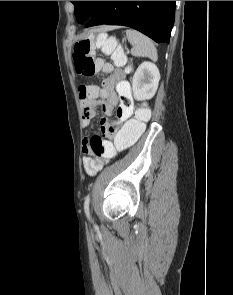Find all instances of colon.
<instances>
[{
  "label": "colon",
  "mask_w": 233,
  "mask_h": 295,
  "mask_svg": "<svg viewBox=\"0 0 233 295\" xmlns=\"http://www.w3.org/2000/svg\"><path fill=\"white\" fill-rule=\"evenodd\" d=\"M94 48L101 49L106 55L112 56L116 65L124 64V57L117 42L106 34L88 36L74 45V66L78 74L92 77L101 69L112 70V65H104L93 56ZM101 87L88 84L79 86V97L84 99L100 93ZM151 117V111L146 106L139 107L132 119L127 121L121 129L110 127L103 133L108 140L99 135L89 138V147L92 154L113 158L118 152L132 146L144 133L146 125Z\"/></svg>",
  "instance_id": "obj_1"
}]
</instances>
